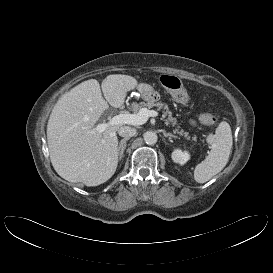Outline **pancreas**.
I'll list each match as a JSON object with an SVG mask.
<instances>
[{
    "label": "pancreas",
    "mask_w": 273,
    "mask_h": 273,
    "mask_svg": "<svg viewBox=\"0 0 273 273\" xmlns=\"http://www.w3.org/2000/svg\"><path fill=\"white\" fill-rule=\"evenodd\" d=\"M156 107L157 110H163V115L162 117L165 119V124L176 126L177 125V120L172 116V112L170 111L169 107L163 103V102H151L148 101L147 103L145 102H140V103H132L130 110L137 114L142 108H152ZM175 133H178L179 135H184L185 137L189 138V133L184 132L183 130H179V126H177L174 130Z\"/></svg>",
    "instance_id": "1"
}]
</instances>
